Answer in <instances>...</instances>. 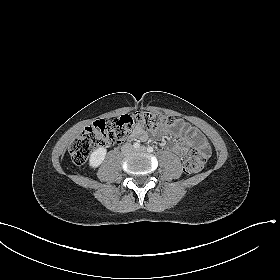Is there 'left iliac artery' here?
I'll return each instance as SVG.
<instances>
[{
	"label": "left iliac artery",
	"instance_id": "44dca946",
	"mask_svg": "<svg viewBox=\"0 0 280 280\" xmlns=\"http://www.w3.org/2000/svg\"><path fill=\"white\" fill-rule=\"evenodd\" d=\"M147 151L151 153V152L154 151V149H153V147L150 146V147L147 148Z\"/></svg>",
	"mask_w": 280,
	"mask_h": 280
}]
</instances>
